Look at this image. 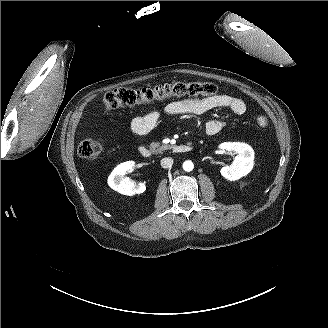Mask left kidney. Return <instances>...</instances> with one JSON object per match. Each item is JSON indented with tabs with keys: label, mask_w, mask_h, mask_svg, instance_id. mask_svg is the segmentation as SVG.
Wrapping results in <instances>:
<instances>
[{
	"label": "left kidney",
	"mask_w": 328,
	"mask_h": 328,
	"mask_svg": "<svg viewBox=\"0 0 328 328\" xmlns=\"http://www.w3.org/2000/svg\"><path fill=\"white\" fill-rule=\"evenodd\" d=\"M218 148L237 154L231 165L224 166L220 170L221 175L227 180H238L253 169L254 150L250 145L243 142H224Z\"/></svg>",
	"instance_id": "left-kidney-1"
}]
</instances>
